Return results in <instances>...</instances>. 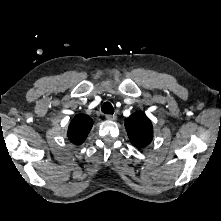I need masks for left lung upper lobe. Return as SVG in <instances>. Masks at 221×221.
Segmentation results:
<instances>
[{
    "mask_svg": "<svg viewBox=\"0 0 221 221\" xmlns=\"http://www.w3.org/2000/svg\"><path fill=\"white\" fill-rule=\"evenodd\" d=\"M125 127L129 139L135 147H145L152 141V123L142 112H136L128 117L125 121Z\"/></svg>",
    "mask_w": 221,
    "mask_h": 221,
    "instance_id": "obj_1",
    "label": "left lung upper lobe"
}]
</instances>
